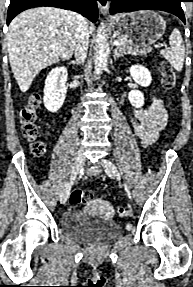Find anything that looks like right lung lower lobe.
<instances>
[{"mask_svg": "<svg viewBox=\"0 0 193 287\" xmlns=\"http://www.w3.org/2000/svg\"><path fill=\"white\" fill-rule=\"evenodd\" d=\"M98 0H10L7 13V25L20 12L40 6H52L67 10H72L82 14L92 22L98 18Z\"/></svg>", "mask_w": 193, "mask_h": 287, "instance_id": "right-lung-lower-lobe-1", "label": "right lung lower lobe"}]
</instances>
